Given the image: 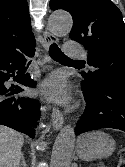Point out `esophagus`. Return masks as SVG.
Wrapping results in <instances>:
<instances>
[{"label": "esophagus", "mask_w": 125, "mask_h": 167, "mask_svg": "<svg viewBox=\"0 0 125 167\" xmlns=\"http://www.w3.org/2000/svg\"><path fill=\"white\" fill-rule=\"evenodd\" d=\"M43 38H44V47L46 50H48L53 43L58 42V38L54 34H52L49 30H45L43 32ZM51 117H52L53 128L55 130H59L64 123V117L62 112L57 107H54L52 110Z\"/></svg>", "instance_id": "esophagus-1"}]
</instances>
